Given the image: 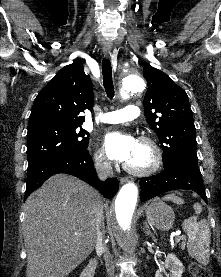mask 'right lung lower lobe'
Listing matches in <instances>:
<instances>
[{
  "label": "right lung lower lobe",
  "mask_w": 221,
  "mask_h": 277,
  "mask_svg": "<svg viewBox=\"0 0 221 277\" xmlns=\"http://www.w3.org/2000/svg\"><path fill=\"white\" fill-rule=\"evenodd\" d=\"M58 173H66L87 182L106 198H112L119 188L116 178L102 182L96 175L94 163L88 150H80L67 156L45 161L35 168L28 170L27 186L24 200L50 176Z\"/></svg>",
  "instance_id": "98d812e1"
}]
</instances>
